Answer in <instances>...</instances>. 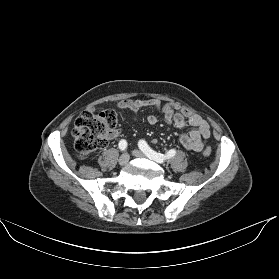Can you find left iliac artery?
<instances>
[{"instance_id":"1","label":"left iliac artery","mask_w":279,"mask_h":279,"mask_svg":"<svg viewBox=\"0 0 279 279\" xmlns=\"http://www.w3.org/2000/svg\"><path fill=\"white\" fill-rule=\"evenodd\" d=\"M138 146L147 157L157 161L158 163H163L165 162V160L172 158L176 154V151L174 149L169 150L165 155L157 153L153 149H151L144 140H140L138 142Z\"/></svg>"}]
</instances>
